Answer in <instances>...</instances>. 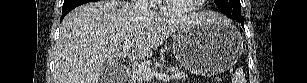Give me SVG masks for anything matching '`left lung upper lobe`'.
Returning a JSON list of instances; mask_svg holds the SVG:
<instances>
[{
    "label": "left lung upper lobe",
    "mask_w": 307,
    "mask_h": 83,
    "mask_svg": "<svg viewBox=\"0 0 307 83\" xmlns=\"http://www.w3.org/2000/svg\"><path fill=\"white\" fill-rule=\"evenodd\" d=\"M217 7L231 19H243L241 17L240 0H214Z\"/></svg>",
    "instance_id": "1"
}]
</instances>
